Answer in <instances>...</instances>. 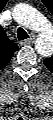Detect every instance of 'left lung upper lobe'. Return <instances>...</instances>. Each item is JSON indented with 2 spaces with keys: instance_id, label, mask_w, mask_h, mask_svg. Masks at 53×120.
Wrapping results in <instances>:
<instances>
[{
  "instance_id": "5c2ea615",
  "label": "left lung upper lobe",
  "mask_w": 53,
  "mask_h": 120,
  "mask_svg": "<svg viewBox=\"0 0 53 120\" xmlns=\"http://www.w3.org/2000/svg\"><path fill=\"white\" fill-rule=\"evenodd\" d=\"M43 1V3L48 7V2L47 1H45V0H42ZM47 59H45V61H46Z\"/></svg>"
}]
</instances>
